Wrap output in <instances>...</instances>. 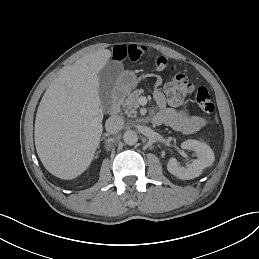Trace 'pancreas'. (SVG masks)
Returning a JSON list of instances; mask_svg holds the SVG:
<instances>
[{
    "mask_svg": "<svg viewBox=\"0 0 259 259\" xmlns=\"http://www.w3.org/2000/svg\"><path fill=\"white\" fill-rule=\"evenodd\" d=\"M144 93L142 88L134 90L128 95L123 102V109L126 115H136V110L139 108V98Z\"/></svg>",
    "mask_w": 259,
    "mask_h": 259,
    "instance_id": "pancreas-1",
    "label": "pancreas"
}]
</instances>
